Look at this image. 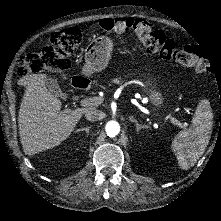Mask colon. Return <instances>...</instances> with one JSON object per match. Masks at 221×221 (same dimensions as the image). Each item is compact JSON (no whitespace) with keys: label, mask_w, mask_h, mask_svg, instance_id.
<instances>
[{"label":"colon","mask_w":221,"mask_h":221,"mask_svg":"<svg viewBox=\"0 0 221 221\" xmlns=\"http://www.w3.org/2000/svg\"><path fill=\"white\" fill-rule=\"evenodd\" d=\"M103 33L122 34L132 31L135 37L151 53L166 59L194 67L198 73L208 72L210 65L206 57L193 46H178L161 30L142 19L106 18L99 22ZM82 33L77 29L58 32L51 36L50 46L26 53L18 62L17 72L22 75L42 74L47 70L60 72L67 68V59L82 43Z\"/></svg>","instance_id":"colon-1"}]
</instances>
